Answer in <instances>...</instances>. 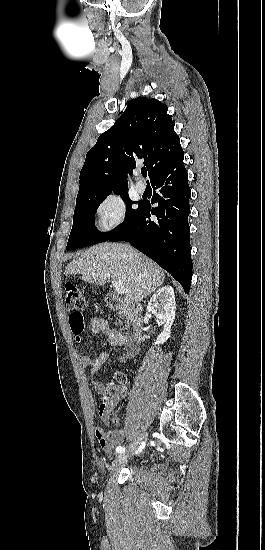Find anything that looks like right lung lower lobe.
I'll return each mask as SVG.
<instances>
[{
    "label": "right lung lower lobe",
    "mask_w": 265,
    "mask_h": 550,
    "mask_svg": "<svg viewBox=\"0 0 265 550\" xmlns=\"http://www.w3.org/2000/svg\"><path fill=\"white\" fill-rule=\"evenodd\" d=\"M184 152L177 154L150 179L154 189L151 203H140L134 218L108 240L128 241L133 247L167 270L189 293L192 277L189 198L191 190L185 169ZM151 214L157 220L150 219Z\"/></svg>",
    "instance_id": "right-lung-lower-lobe-1"
}]
</instances>
